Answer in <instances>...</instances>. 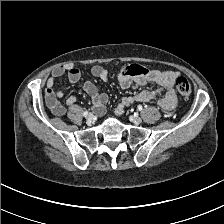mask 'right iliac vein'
<instances>
[{"instance_id": "1", "label": "right iliac vein", "mask_w": 224, "mask_h": 224, "mask_svg": "<svg viewBox=\"0 0 224 224\" xmlns=\"http://www.w3.org/2000/svg\"><path fill=\"white\" fill-rule=\"evenodd\" d=\"M86 120L88 123H91L92 120H93V115L92 114H89L87 117H86Z\"/></svg>"}]
</instances>
